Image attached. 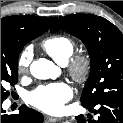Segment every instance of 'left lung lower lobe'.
Returning a JSON list of instances; mask_svg holds the SVG:
<instances>
[{
	"mask_svg": "<svg viewBox=\"0 0 123 123\" xmlns=\"http://www.w3.org/2000/svg\"><path fill=\"white\" fill-rule=\"evenodd\" d=\"M83 106L95 112L98 119L88 116L86 120L83 115H79L76 117L77 123H123V97L106 98L94 106Z\"/></svg>",
	"mask_w": 123,
	"mask_h": 123,
	"instance_id": "left-lung-lower-lobe-1",
	"label": "left lung lower lobe"
}]
</instances>
